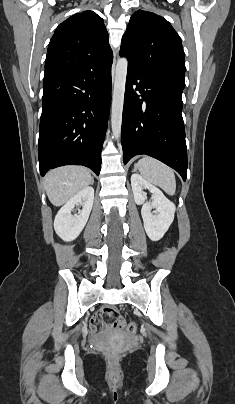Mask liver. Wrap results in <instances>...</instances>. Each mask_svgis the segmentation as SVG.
Instances as JSON below:
<instances>
[{
	"label": "liver",
	"instance_id": "obj_1",
	"mask_svg": "<svg viewBox=\"0 0 235 404\" xmlns=\"http://www.w3.org/2000/svg\"><path fill=\"white\" fill-rule=\"evenodd\" d=\"M92 179L85 167L63 166L48 172L43 184L50 202L54 206H61L88 187Z\"/></svg>",
	"mask_w": 235,
	"mask_h": 404
}]
</instances>
